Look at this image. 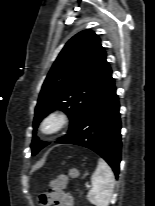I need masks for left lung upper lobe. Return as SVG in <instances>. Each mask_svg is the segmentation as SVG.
<instances>
[{"instance_id":"obj_1","label":"left lung upper lobe","mask_w":155,"mask_h":206,"mask_svg":"<svg viewBox=\"0 0 155 206\" xmlns=\"http://www.w3.org/2000/svg\"><path fill=\"white\" fill-rule=\"evenodd\" d=\"M112 80L99 37L90 30L76 34L66 43L43 83L35 109L34 134L38 123L55 109L67 113L71 131ZM47 144L34 137L32 155Z\"/></svg>"}]
</instances>
